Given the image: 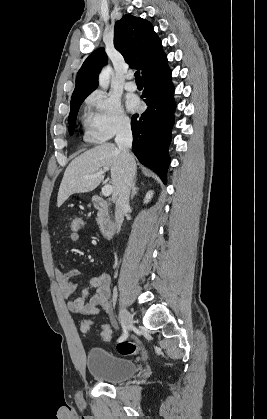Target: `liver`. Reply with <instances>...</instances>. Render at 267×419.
<instances>
[{"mask_svg":"<svg viewBox=\"0 0 267 419\" xmlns=\"http://www.w3.org/2000/svg\"><path fill=\"white\" fill-rule=\"evenodd\" d=\"M102 168H110L112 199L118 195L123 173L121 151L112 143H104L82 153L70 162L60 184L57 206L60 207L72 194L93 191L104 179L103 175L86 178Z\"/></svg>","mask_w":267,"mask_h":419,"instance_id":"6515ba94","label":"liver"}]
</instances>
